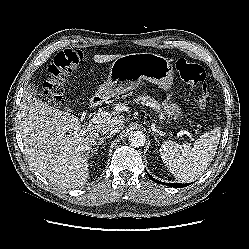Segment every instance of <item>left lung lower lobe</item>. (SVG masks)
Here are the masks:
<instances>
[{"mask_svg":"<svg viewBox=\"0 0 249 249\" xmlns=\"http://www.w3.org/2000/svg\"><path fill=\"white\" fill-rule=\"evenodd\" d=\"M148 176L152 181H154L156 183L164 184V185L174 187V188H182V187H185L188 185V184H180V183L179 184H177V183H161L158 180H155L154 178H152L150 175H148Z\"/></svg>","mask_w":249,"mask_h":249,"instance_id":"1","label":"left lung lower lobe"}]
</instances>
